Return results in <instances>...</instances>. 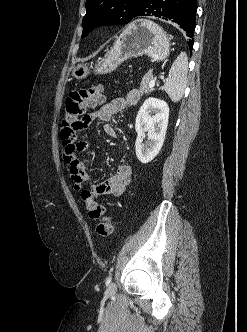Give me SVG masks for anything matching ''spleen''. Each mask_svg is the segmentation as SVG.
<instances>
[{"mask_svg":"<svg viewBox=\"0 0 247 332\" xmlns=\"http://www.w3.org/2000/svg\"><path fill=\"white\" fill-rule=\"evenodd\" d=\"M188 60L187 55L181 52L173 62L167 81L161 88L173 102H178L187 86Z\"/></svg>","mask_w":247,"mask_h":332,"instance_id":"3e777b00","label":"spleen"}]
</instances>
